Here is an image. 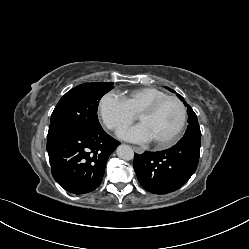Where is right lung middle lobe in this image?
<instances>
[{
	"mask_svg": "<svg viewBox=\"0 0 249 249\" xmlns=\"http://www.w3.org/2000/svg\"><path fill=\"white\" fill-rule=\"evenodd\" d=\"M113 88V83H85L68 91L56 105L47 141L61 135L101 129L97 108L101 97Z\"/></svg>",
	"mask_w": 249,
	"mask_h": 249,
	"instance_id": "right-lung-middle-lobe-1",
	"label": "right lung middle lobe"
}]
</instances>
